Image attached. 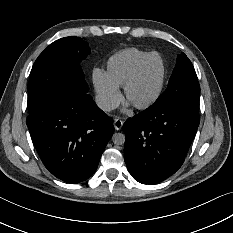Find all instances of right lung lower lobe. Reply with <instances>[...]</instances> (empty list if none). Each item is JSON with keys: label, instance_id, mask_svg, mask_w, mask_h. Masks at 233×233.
Here are the masks:
<instances>
[{"label": "right lung lower lobe", "instance_id": "1", "mask_svg": "<svg viewBox=\"0 0 233 233\" xmlns=\"http://www.w3.org/2000/svg\"><path fill=\"white\" fill-rule=\"evenodd\" d=\"M87 91L81 84L73 83L27 118L45 167L67 183H79L93 175L114 132L113 119Z\"/></svg>", "mask_w": 233, "mask_h": 233}]
</instances>
